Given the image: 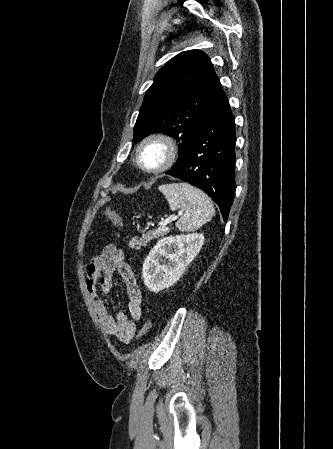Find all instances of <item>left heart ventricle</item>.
Instances as JSON below:
<instances>
[{"label": "left heart ventricle", "instance_id": "b2bd125f", "mask_svg": "<svg viewBox=\"0 0 333 449\" xmlns=\"http://www.w3.org/2000/svg\"><path fill=\"white\" fill-rule=\"evenodd\" d=\"M141 158L145 165L156 167L164 159V150L159 145H149L143 150Z\"/></svg>", "mask_w": 333, "mask_h": 449}]
</instances>
